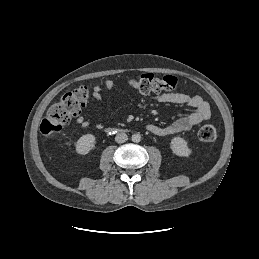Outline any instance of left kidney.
<instances>
[{
  "label": "left kidney",
  "instance_id": "obj_1",
  "mask_svg": "<svg viewBox=\"0 0 259 259\" xmlns=\"http://www.w3.org/2000/svg\"><path fill=\"white\" fill-rule=\"evenodd\" d=\"M170 147L177 156L188 157L191 154L187 141L181 137H174L171 140Z\"/></svg>",
  "mask_w": 259,
  "mask_h": 259
}]
</instances>
